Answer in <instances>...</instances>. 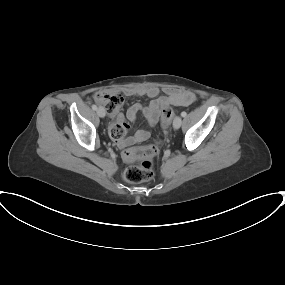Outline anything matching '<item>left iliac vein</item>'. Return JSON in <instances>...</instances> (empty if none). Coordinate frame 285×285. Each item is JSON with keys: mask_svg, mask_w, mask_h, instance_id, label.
Listing matches in <instances>:
<instances>
[{"mask_svg": "<svg viewBox=\"0 0 285 285\" xmlns=\"http://www.w3.org/2000/svg\"><path fill=\"white\" fill-rule=\"evenodd\" d=\"M181 124H182V119H181L179 116H177V117L174 119L173 127H174L175 129H178V128H180Z\"/></svg>", "mask_w": 285, "mask_h": 285, "instance_id": "1", "label": "left iliac vein"}]
</instances>
